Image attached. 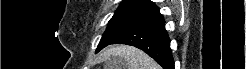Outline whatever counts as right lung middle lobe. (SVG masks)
Wrapping results in <instances>:
<instances>
[{
	"mask_svg": "<svg viewBox=\"0 0 246 69\" xmlns=\"http://www.w3.org/2000/svg\"><path fill=\"white\" fill-rule=\"evenodd\" d=\"M142 20V16H125L112 18L108 22V27L98 44L96 52H99L101 49L109 45L119 35L131 29L138 23L142 22Z\"/></svg>",
	"mask_w": 246,
	"mask_h": 69,
	"instance_id": "dd1d6c3e",
	"label": "right lung middle lobe"
}]
</instances>
